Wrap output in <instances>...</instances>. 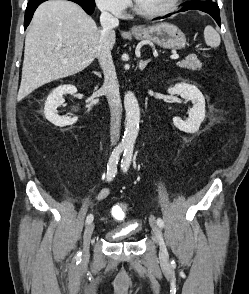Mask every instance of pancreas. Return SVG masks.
I'll use <instances>...</instances> for the list:
<instances>
[{
    "mask_svg": "<svg viewBox=\"0 0 249 294\" xmlns=\"http://www.w3.org/2000/svg\"><path fill=\"white\" fill-rule=\"evenodd\" d=\"M178 65L181 68H186L193 71L200 70L202 68V63L195 55L187 56L183 61L179 62Z\"/></svg>",
    "mask_w": 249,
    "mask_h": 294,
    "instance_id": "1",
    "label": "pancreas"
}]
</instances>
